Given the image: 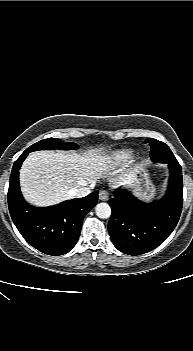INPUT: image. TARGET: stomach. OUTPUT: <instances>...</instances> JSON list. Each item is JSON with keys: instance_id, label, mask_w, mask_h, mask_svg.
I'll return each mask as SVG.
<instances>
[{"instance_id": "1", "label": "stomach", "mask_w": 193, "mask_h": 351, "mask_svg": "<svg viewBox=\"0 0 193 351\" xmlns=\"http://www.w3.org/2000/svg\"><path fill=\"white\" fill-rule=\"evenodd\" d=\"M136 194L142 199L149 200L155 194V188L145 170H139L136 184Z\"/></svg>"}]
</instances>
